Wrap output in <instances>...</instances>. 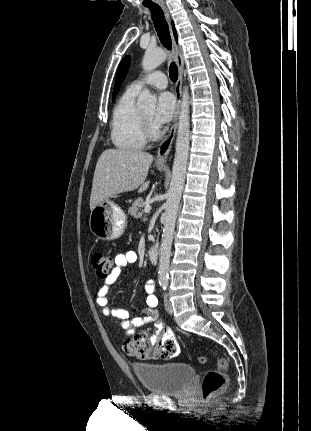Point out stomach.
I'll return each mask as SVG.
<instances>
[{
	"instance_id": "obj_1",
	"label": "stomach",
	"mask_w": 311,
	"mask_h": 431,
	"mask_svg": "<svg viewBox=\"0 0 311 431\" xmlns=\"http://www.w3.org/2000/svg\"><path fill=\"white\" fill-rule=\"evenodd\" d=\"M159 172H164L165 168H159ZM127 225V217L122 208L112 202L104 200L100 202L89 216L90 231L97 235L98 239H118L124 233Z\"/></svg>"
}]
</instances>
